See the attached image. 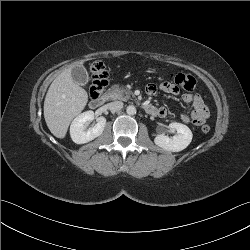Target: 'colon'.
I'll return each mask as SVG.
<instances>
[{"mask_svg":"<svg viewBox=\"0 0 250 250\" xmlns=\"http://www.w3.org/2000/svg\"><path fill=\"white\" fill-rule=\"evenodd\" d=\"M90 74L92 77L89 89L90 95L91 97H98L108 85L109 73L105 64L98 60L91 64ZM171 80L173 84H177L180 88L187 92H194L196 89V80L189 74L176 72L171 74ZM201 130L204 133H208L210 131V126L204 124L202 125Z\"/></svg>","mask_w":250,"mask_h":250,"instance_id":"colon-1","label":"colon"}]
</instances>
